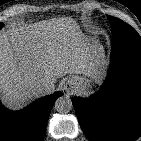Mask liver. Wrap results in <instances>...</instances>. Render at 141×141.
Instances as JSON below:
<instances>
[{"instance_id":"6515ba94","label":"liver","mask_w":141,"mask_h":141,"mask_svg":"<svg viewBox=\"0 0 141 141\" xmlns=\"http://www.w3.org/2000/svg\"><path fill=\"white\" fill-rule=\"evenodd\" d=\"M104 51L90 48L69 17L43 20L26 28L0 32V97L18 108L40 97L34 88L43 79L53 83L67 74L94 77Z\"/></svg>"}]
</instances>
